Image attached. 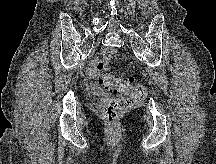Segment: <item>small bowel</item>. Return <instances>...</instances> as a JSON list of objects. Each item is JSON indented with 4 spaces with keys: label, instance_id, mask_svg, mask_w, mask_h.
<instances>
[{
    "label": "small bowel",
    "instance_id": "obj_1",
    "mask_svg": "<svg viewBox=\"0 0 216 164\" xmlns=\"http://www.w3.org/2000/svg\"><path fill=\"white\" fill-rule=\"evenodd\" d=\"M96 73H97V69H96L95 67H93V68L91 69V74H92V75H96ZM92 91H93L94 94H96V95H102V94H103V91H102L101 87H100L99 85H96V84H94V85L92 86Z\"/></svg>",
    "mask_w": 216,
    "mask_h": 164
}]
</instances>
